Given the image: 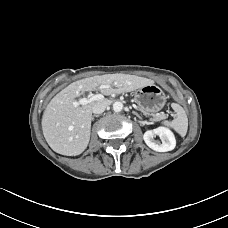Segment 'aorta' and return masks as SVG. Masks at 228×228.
I'll return each instance as SVG.
<instances>
[{"mask_svg": "<svg viewBox=\"0 0 228 228\" xmlns=\"http://www.w3.org/2000/svg\"><path fill=\"white\" fill-rule=\"evenodd\" d=\"M122 109H123V103L122 102L116 101L113 104V110H114V112H120V111H122Z\"/></svg>", "mask_w": 228, "mask_h": 228, "instance_id": "obj_1", "label": "aorta"}]
</instances>
